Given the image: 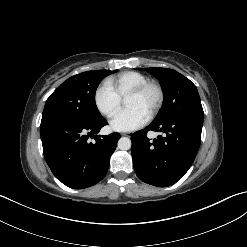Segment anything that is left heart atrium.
<instances>
[{
    "label": "left heart atrium",
    "instance_id": "left-heart-atrium-1",
    "mask_svg": "<svg viewBox=\"0 0 247 247\" xmlns=\"http://www.w3.org/2000/svg\"><path fill=\"white\" fill-rule=\"evenodd\" d=\"M148 120V114L138 107H127L120 111L110 122L115 131L127 132L140 128Z\"/></svg>",
    "mask_w": 247,
    "mask_h": 247
}]
</instances>
